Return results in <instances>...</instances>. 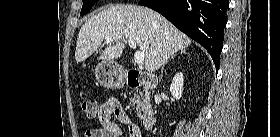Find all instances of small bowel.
Here are the masks:
<instances>
[{"label": "small bowel", "mask_w": 280, "mask_h": 137, "mask_svg": "<svg viewBox=\"0 0 280 137\" xmlns=\"http://www.w3.org/2000/svg\"><path fill=\"white\" fill-rule=\"evenodd\" d=\"M113 118L120 123L130 122L119 101L114 97H110L99 109L98 121L100 127L86 131L84 137H121V128ZM134 134H140V132L136 127H131L130 137H133Z\"/></svg>", "instance_id": "small-bowel-1"}]
</instances>
